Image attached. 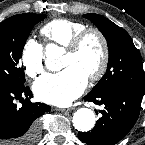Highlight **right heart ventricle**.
<instances>
[{
  "label": "right heart ventricle",
  "mask_w": 145,
  "mask_h": 145,
  "mask_svg": "<svg viewBox=\"0 0 145 145\" xmlns=\"http://www.w3.org/2000/svg\"><path fill=\"white\" fill-rule=\"evenodd\" d=\"M86 28L80 21L59 18L46 23L40 32L49 43L66 47L76 34Z\"/></svg>",
  "instance_id": "obj_1"
}]
</instances>
